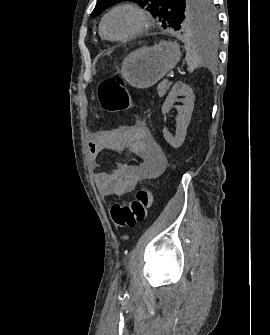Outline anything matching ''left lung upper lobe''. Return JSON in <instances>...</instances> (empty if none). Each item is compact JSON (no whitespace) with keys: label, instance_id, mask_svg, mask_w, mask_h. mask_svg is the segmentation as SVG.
I'll use <instances>...</instances> for the list:
<instances>
[{"label":"left lung upper lobe","instance_id":"left-lung-upper-lobe-1","mask_svg":"<svg viewBox=\"0 0 270 335\" xmlns=\"http://www.w3.org/2000/svg\"><path fill=\"white\" fill-rule=\"evenodd\" d=\"M122 0H97L91 16L99 15L109 6ZM138 3L159 21L164 28L181 32L214 30L217 12L213 0H129Z\"/></svg>","mask_w":270,"mask_h":335}]
</instances>
